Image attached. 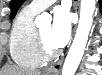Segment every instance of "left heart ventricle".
Here are the masks:
<instances>
[{
    "label": "left heart ventricle",
    "mask_w": 102,
    "mask_h": 75,
    "mask_svg": "<svg viewBox=\"0 0 102 75\" xmlns=\"http://www.w3.org/2000/svg\"><path fill=\"white\" fill-rule=\"evenodd\" d=\"M39 30L41 32L43 41H44L45 45L48 47V49L51 51L56 50L57 48H55L50 41V30H51L50 24H46V25L41 26L39 28Z\"/></svg>",
    "instance_id": "obj_1"
}]
</instances>
